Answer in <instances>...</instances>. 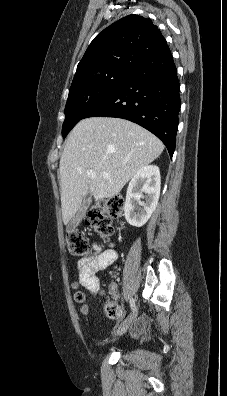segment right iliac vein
<instances>
[{
    "mask_svg": "<svg viewBox=\"0 0 227 396\" xmlns=\"http://www.w3.org/2000/svg\"><path fill=\"white\" fill-rule=\"evenodd\" d=\"M137 316V308L133 311L132 315L129 317L127 321H125L122 326L118 329L117 335H123L127 332L129 327L133 324Z\"/></svg>",
    "mask_w": 227,
    "mask_h": 396,
    "instance_id": "63e3f726",
    "label": "right iliac vein"
}]
</instances>
